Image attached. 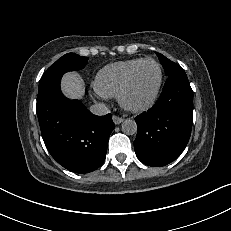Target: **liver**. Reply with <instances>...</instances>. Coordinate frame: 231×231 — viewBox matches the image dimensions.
Returning <instances> with one entry per match:
<instances>
[{
    "label": "liver",
    "mask_w": 231,
    "mask_h": 231,
    "mask_svg": "<svg viewBox=\"0 0 231 231\" xmlns=\"http://www.w3.org/2000/svg\"><path fill=\"white\" fill-rule=\"evenodd\" d=\"M83 80L78 73L70 72L63 76L61 88L63 94L70 99L83 97Z\"/></svg>",
    "instance_id": "liver-1"
}]
</instances>
